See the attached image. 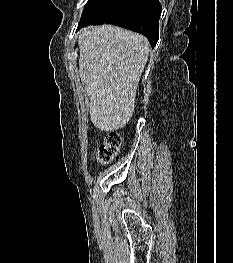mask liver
I'll list each match as a JSON object with an SVG mask.
<instances>
[{
    "label": "liver",
    "mask_w": 233,
    "mask_h": 263,
    "mask_svg": "<svg viewBox=\"0 0 233 263\" xmlns=\"http://www.w3.org/2000/svg\"><path fill=\"white\" fill-rule=\"evenodd\" d=\"M79 75L89 97L95 127L111 132L132 117L138 83L148 61L149 42L141 34L113 25L79 32Z\"/></svg>",
    "instance_id": "obj_1"
}]
</instances>
